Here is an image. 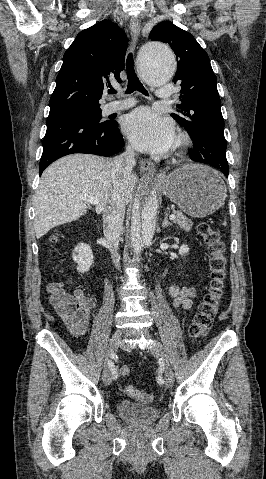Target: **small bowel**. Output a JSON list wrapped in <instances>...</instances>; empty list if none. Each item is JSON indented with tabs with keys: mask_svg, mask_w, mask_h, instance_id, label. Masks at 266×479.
Instances as JSON below:
<instances>
[{
	"mask_svg": "<svg viewBox=\"0 0 266 479\" xmlns=\"http://www.w3.org/2000/svg\"><path fill=\"white\" fill-rule=\"evenodd\" d=\"M67 284H71V282L67 280ZM168 291L176 309L188 310L191 308L192 299L196 294L195 289L170 285ZM47 293L51 307L71 332L76 336L84 335L89 329L96 302L84 294L80 288H74L72 293H67L63 284L59 282L49 283Z\"/></svg>",
	"mask_w": 266,
	"mask_h": 479,
	"instance_id": "small-bowel-1",
	"label": "small bowel"
}]
</instances>
